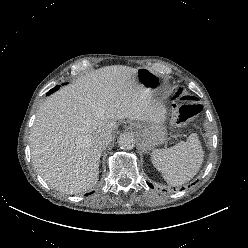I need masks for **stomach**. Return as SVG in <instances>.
Masks as SVG:
<instances>
[{
  "label": "stomach",
  "mask_w": 248,
  "mask_h": 248,
  "mask_svg": "<svg viewBox=\"0 0 248 248\" xmlns=\"http://www.w3.org/2000/svg\"><path fill=\"white\" fill-rule=\"evenodd\" d=\"M138 83L147 89H158L160 87V78L148 68H139L137 70ZM135 131L139 142L145 149L162 144L167 138L166 128L162 121L159 123L145 124L141 122L130 123Z\"/></svg>",
  "instance_id": "0dacf381"
}]
</instances>
